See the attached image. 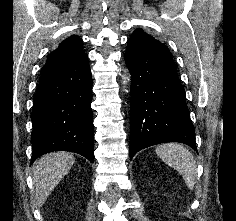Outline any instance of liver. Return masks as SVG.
Wrapping results in <instances>:
<instances>
[{
    "label": "liver",
    "instance_id": "obj_1",
    "mask_svg": "<svg viewBox=\"0 0 236 221\" xmlns=\"http://www.w3.org/2000/svg\"><path fill=\"white\" fill-rule=\"evenodd\" d=\"M74 162V156L66 152L49 153L35 162L33 184L38 207L45 203L53 189L67 175Z\"/></svg>",
    "mask_w": 236,
    "mask_h": 221
}]
</instances>
